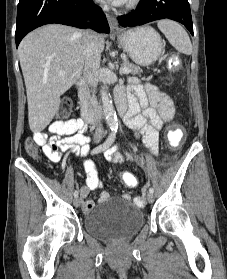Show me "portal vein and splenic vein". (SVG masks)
<instances>
[{
  "label": "portal vein and splenic vein",
  "mask_w": 227,
  "mask_h": 279,
  "mask_svg": "<svg viewBox=\"0 0 227 279\" xmlns=\"http://www.w3.org/2000/svg\"><path fill=\"white\" fill-rule=\"evenodd\" d=\"M121 71H122V73H124V74H129V72H130L129 68H127V67H122ZM63 73H64V72H60V74H63Z\"/></svg>",
  "instance_id": "18ae733b"
}]
</instances>
